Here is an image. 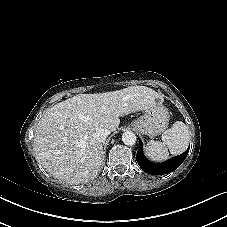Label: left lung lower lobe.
Returning <instances> with one entry per match:
<instances>
[{
	"mask_svg": "<svg viewBox=\"0 0 227 227\" xmlns=\"http://www.w3.org/2000/svg\"><path fill=\"white\" fill-rule=\"evenodd\" d=\"M143 145L141 140L139 139V149L137 151L136 160L143 171L149 173L151 175H162L168 174L174 170H176L185 160L188 149L181 155L171 158L165 163L162 164H154L147 160L143 154Z\"/></svg>",
	"mask_w": 227,
	"mask_h": 227,
	"instance_id": "obj_1",
	"label": "left lung lower lobe"
}]
</instances>
